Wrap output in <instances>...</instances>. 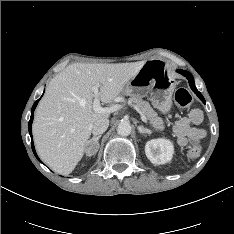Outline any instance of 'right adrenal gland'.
Returning a JSON list of instances; mask_svg holds the SVG:
<instances>
[{"label":"right adrenal gland","mask_w":234,"mask_h":234,"mask_svg":"<svg viewBox=\"0 0 234 234\" xmlns=\"http://www.w3.org/2000/svg\"><path fill=\"white\" fill-rule=\"evenodd\" d=\"M101 138V135H98V136H94V137H92L90 140H88V142L86 143V146H88L91 142H95V144L97 145V149H96V151H95V153L98 151V149H99V142H98V140ZM88 155H94V153H92V154H88Z\"/></svg>","instance_id":"2a0ac1e0"}]
</instances>
